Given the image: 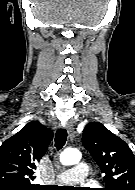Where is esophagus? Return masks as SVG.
I'll return each mask as SVG.
<instances>
[{
    "mask_svg": "<svg viewBox=\"0 0 135 190\" xmlns=\"http://www.w3.org/2000/svg\"><path fill=\"white\" fill-rule=\"evenodd\" d=\"M65 128L68 131V136L69 138L72 140L75 137V132H74V128L73 125L71 123H66Z\"/></svg>",
    "mask_w": 135,
    "mask_h": 190,
    "instance_id": "obj_1",
    "label": "esophagus"
}]
</instances>
